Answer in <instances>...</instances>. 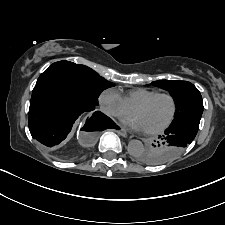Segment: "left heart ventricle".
Instances as JSON below:
<instances>
[{"instance_id":"left-heart-ventricle-1","label":"left heart ventricle","mask_w":225,"mask_h":225,"mask_svg":"<svg viewBox=\"0 0 225 225\" xmlns=\"http://www.w3.org/2000/svg\"><path fill=\"white\" fill-rule=\"evenodd\" d=\"M171 112L172 103L167 97H159L143 108L132 109V114L141 121L145 130L162 126L169 119Z\"/></svg>"}]
</instances>
